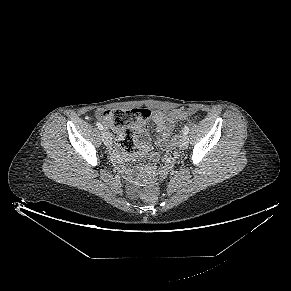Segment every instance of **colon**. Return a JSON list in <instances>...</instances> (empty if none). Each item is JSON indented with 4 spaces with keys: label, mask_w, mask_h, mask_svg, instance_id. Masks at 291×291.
<instances>
[{
    "label": "colon",
    "mask_w": 291,
    "mask_h": 291,
    "mask_svg": "<svg viewBox=\"0 0 291 291\" xmlns=\"http://www.w3.org/2000/svg\"><path fill=\"white\" fill-rule=\"evenodd\" d=\"M189 112L183 109H177L171 113V117L177 120H184L188 117ZM150 117L148 109L116 110L109 109L105 111L101 119L121 146L127 155L138 153V146L135 140L136 130L143 126ZM147 202L154 203L158 200V192L155 187H150L143 193Z\"/></svg>",
    "instance_id": "5ec220e1"
}]
</instances>
